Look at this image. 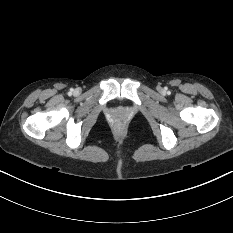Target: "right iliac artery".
<instances>
[{
	"label": "right iliac artery",
	"mask_w": 233,
	"mask_h": 233,
	"mask_svg": "<svg viewBox=\"0 0 233 233\" xmlns=\"http://www.w3.org/2000/svg\"><path fill=\"white\" fill-rule=\"evenodd\" d=\"M72 92H73V89H70V92H69V94H72Z\"/></svg>",
	"instance_id": "right-iliac-artery-1"
}]
</instances>
